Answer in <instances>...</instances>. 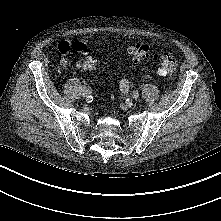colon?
I'll list each match as a JSON object with an SVG mask.
<instances>
[{"label": "colon", "instance_id": "obj_1", "mask_svg": "<svg viewBox=\"0 0 221 221\" xmlns=\"http://www.w3.org/2000/svg\"><path fill=\"white\" fill-rule=\"evenodd\" d=\"M129 52L134 58L138 60L150 55V46L144 42L134 43ZM157 62V74L160 77L171 76L177 68V61L174 57L168 54H161L155 56ZM97 61L91 56L85 55L82 59V69L84 71H93L96 68Z\"/></svg>", "mask_w": 221, "mask_h": 221}]
</instances>
